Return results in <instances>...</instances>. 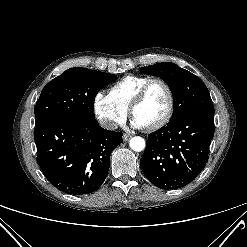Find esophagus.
<instances>
[{"label": "esophagus", "mask_w": 247, "mask_h": 247, "mask_svg": "<svg viewBox=\"0 0 247 247\" xmlns=\"http://www.w3.org/2000/svg\"><path fill=\"white\" fill-rule=\"evenodd\" d=\"M132 136L130 134L124 133L123 134V140L128 141Z\"/></svg>", "instance_id": "1"}]
</instances>
